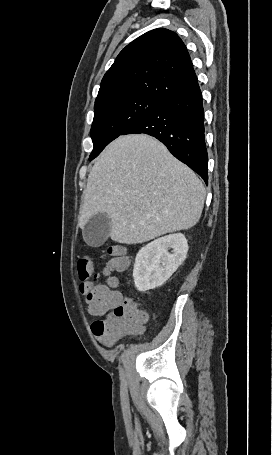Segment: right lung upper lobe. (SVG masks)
Masks as SVG:
<instances>
[{"instance_id":"cb5924a9","label":"right lung upper lobe","mask_w":272,"mask_h":455,"mask_svg":"<svg viewBox=\"0 0 272 455\" xmlns=\"http://www.w3.org/2000/svg\"><path fill=\"white\" fill-rule=\"evenodd\" d=\"M196 82L183 41L173 31L154 29L119 53L101 81L94 107L135 96L165 100Z\"/></svg>"}]
</instances>
